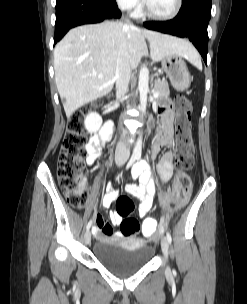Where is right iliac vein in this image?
I'll return each instance as SVG.
<instances>
[{
  "instance_id": "right-iliac-vein-1",
  "label": "right iliac vein",
  "mask_w": 247,
  "mask_h": 304,
  "mask_svg": "<svg viewBox=\"0 0 247 304\" xmlns=\"http://www.w3.org/2000/svg\"><path fill=\"white\" fill-rule=\"evenodd\" d=\"M84 241L86 245H89L91 242V233L89 230L86 231L85 235H84Z\"/></svg>"
}]
</instances>
